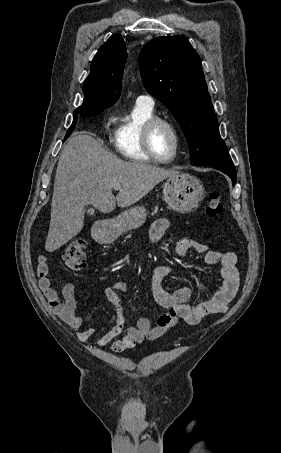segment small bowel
Wrapping results in <instances>:
<instances>
[{"mask_svg":"<svg viewBox=\"0 0 281 453\" xmlns=\"http://www.w3.org/2000/svg\"><path fill=\"white\" fill-rule=\"evenodd\" d=\"M170 229L169 221L166 219L156 220L150 228L149 241L156 245L162 236ZM174 250L179 256H185L188 252L204 254L205 265H219L221 268L222 285L219 292L210 300L199 302L195 305L189 304L188 300L192 290L190 287L177 288L173 293L167 292L163 287V280L175 274L178 268L173 264H161L155 268L151 287L155 301L167 309V313L158 319L156 325L144 318L136 325L126 327L122 316L120 293L128 290L125 282L112 284L105 290V297L111 306V315L108 322L112 328L106 333L93 339V346L103 347L113 341L117 336L123 334V338L114 341L110 349L115 353H122L132 349L144 338L149 340L158 339L164 336L170 328L178 322L183 321L187 325L198 324L208 314L226 313L238 292L239 275L236 268V255L233 253H220L215 250H208L207 246L194 238L186 235L179 236L174 243ZM63 265L72 269H84L85 264H74L69 259L63 261ZM49 259L47 256H40L38 266V279L41 290L48 300L51 311L70 327L77 330V337L81 341H87L94 337L96 330H83L84 319L80 316L75 299V285L65 283L63 285L64 301L60 302L57 291L52 286L49 273Z\"/></svg>","mask_w":281,"mask_h":453,"instance_id":"small-bowel-1","label":"small bowel"}]
</instances>
